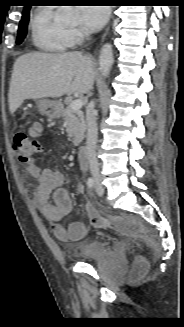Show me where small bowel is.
<instances>
[{
  "label": "small bowel",
  "mask_w": 184,
  "mask_h": 327,
  "mask_svg": "<svg viewBox=\"0 0 184 327\" xmlns=\"http://www.w3.org/2000/svg\"><path fill=\"white\" fill-rule=\"evenodd\" d=\"M43 126L39 121L33 122L28 133L33 138L41 136ZM28 174L37 180V187L33 192V201L43 216L51 223L55 237L60 240H80L87 233V225L75 221L64 227L61 220L72 210V199L63 187L65 175L59 169L41 168L35 161L27 165ZM79 192L84 191L82 184L77 185Z\"/></svg>",
  "instance_id": "c3829d8e"
}]
</instances>
